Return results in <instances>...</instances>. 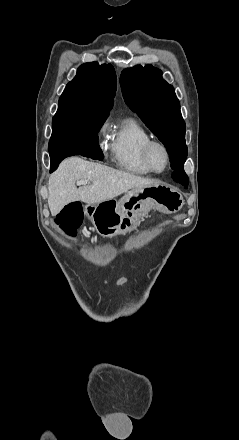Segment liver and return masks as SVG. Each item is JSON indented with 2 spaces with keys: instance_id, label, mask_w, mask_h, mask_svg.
Instances as JSON below:
<instances>
[{
  "instance_id": "obj_1",
  "label": "liver",
  "mask_w": 239,
  "mask_h": 440,
  "mask_svg": "<svg viewBox=\"0 0 239 440\" xmlns=\"http://www.w3.org/2000/svg\"><path fill=\"white\" fill-rule=\"evenodd\" d=\"M78 180H89L92 186L76 188L75 182ZM158 184H161L160 180L119 172L82 158H67L49 178L48 206L51 216H57L70 202L80 200L85 204H100L133 188H150Z\"/></svg>"
}]
</instances>
